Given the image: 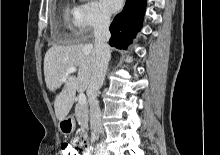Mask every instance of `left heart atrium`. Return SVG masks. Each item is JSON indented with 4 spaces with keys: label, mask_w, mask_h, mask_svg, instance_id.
<instances>
[{
    "label": "left heart atrium",
    "mask_w": 220,
    "mask_h": 155,
    "mask_svg": "<svg viewBox=\"0 0 220 155\" xmlns=\"http://www.w3.org/2000/svg\"><path fill=\"white\" fill-rule=\"evenodd\" d=\"M100 3L106 11L114 13L120 9L123 0H100Z\"/></svg>",
    "instance_id": "1"
}]
</instances>
